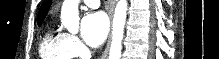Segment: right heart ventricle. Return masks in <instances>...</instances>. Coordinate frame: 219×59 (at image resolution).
Here are the masks:
<instances>
[{
    "instance_id": "1",
    "label": "right heart ventricle",
    "mask_w": 219,
    "mask_h": 59,
    "mask_svg": "<svg viewBox=\"0 0 219 59\" xmlns=\"http://www.w3.org/2000/svg\"><path fill=\"white\" fill-rule=\"evenodd\" d=\"M39 56L41 59H73L75 54L69 45L68 34L49 29L40 41Z\"/></svg>"
}]
</instances>
